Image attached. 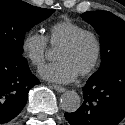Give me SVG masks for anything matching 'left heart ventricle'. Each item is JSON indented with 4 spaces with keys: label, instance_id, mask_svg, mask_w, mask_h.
Here are the masks:
<instances>
[{
    "label": "left heart ventricle",
    "instance_id": "left-heart-ventricle-1",
    "mask_svg": "<svg viewBox=\"0 0 125 125\" xmlns=\"http://www.w3.org/2000/svg\"><path fill=\"white\" fill-rule=\"evenodd\" d=\"M95 55V43L90 36L82 37L69 49L58 48L56 59L66 61L76 72L80 74L92 62Z\"/></svg>",
    "mask_w": 125,
    "mask_h": 125
}]
</instances>
